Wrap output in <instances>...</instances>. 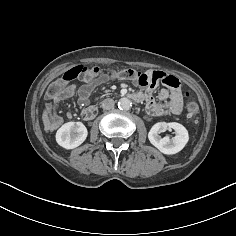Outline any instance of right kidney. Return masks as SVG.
Returning a JSON list of instances; mask_svg holds the SVG:
<instances>
[{"label": "right kidney", "mask_w": 236, "mask_h": 236, "mask_svg": "<svg viewBox=\"0 0 236 236\" xmlns=\"http://www.w3.org/2000/svg\"><path fill=\"white\" fill-rule=\"evenodd\" d=\"M87 135V128L82 122H68L57 130L56 141L65 149H74L85 141Z\"/></svg>", "instance_id": "right-kidney-1"}]
</instances>
